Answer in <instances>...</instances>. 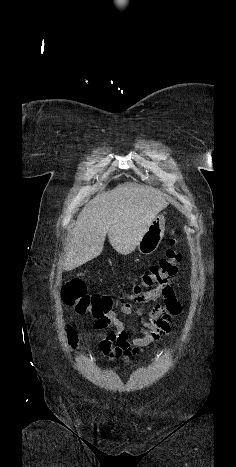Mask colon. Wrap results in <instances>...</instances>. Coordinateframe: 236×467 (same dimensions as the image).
I'll use <instances>...</instances> for the list:
<instances>
[{
	"mask_svg": "<svg viewBox=\"0 0 236 467\" xmlns=\"http://www.w3.org/2000/svg\"><path fill=\"white\" fill-rule=\"evenodd\" d=\"M178 247V240L172 238L165 257L142 273L139 281L133 285L128 294L130 298L140 297L167 285L169 278L176 274L177 264L181 259ZM62 300L65 305L74 307L79 314L90 313L94 317L105 316L115 306L123 303V298H114L109 294L88 293L85 282L80 278L69 279L63 284ZM70 338L73 343L74 336L71 335Z\"/></svg>",
	"mask_w": 236,
	"mask_h": 467,
	"instance_id": "5ec220e1",
	"label": "colon"
}]
</instances>
